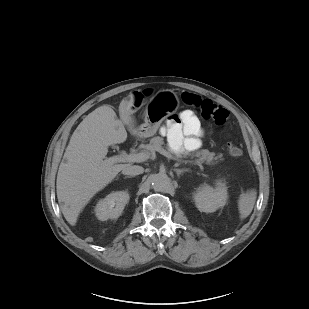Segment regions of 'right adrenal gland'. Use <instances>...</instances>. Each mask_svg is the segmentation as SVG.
Returning <instances> with one entry per match:
<instances>
[{
    "label": "right adrenal gland",
    "mask_w": 309,
    "mask_h": 309,
    "mask_svg": "<svg viewBox=\"0 0 309 309\" xmlns=\"http://www.w3.org/2000/svg\"><path fill=\"white\" fill-rule=\"evenodd\" d=\"M127 178H132V176H126V177H124V179H127Z\"/></svg>",
    "instance_id": "obj_1"
}]
</instances>
